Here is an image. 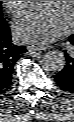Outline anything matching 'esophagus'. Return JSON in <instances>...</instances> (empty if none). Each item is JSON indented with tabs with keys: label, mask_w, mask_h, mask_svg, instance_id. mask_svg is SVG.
Returning <instances> with one entry per match:
<instances>
[{
	"label": "esophagus",
	"mask_w": 74,
	"mask_h": 122,
	"mask_svg": "<svg viewBox=\"0 0 74 122\" xmlns=\"http://www.w3.org/2000/svg\"><path fill=\"white\" fill-rule=\"evenodd\" d=\"M50 46L48 45H29L27 46V49L30 53H35V52H38V51H45L47 49H49Z\"/></svg>",
	"instance_id": "34e87169"
}]
</instances>
